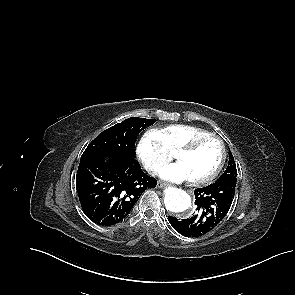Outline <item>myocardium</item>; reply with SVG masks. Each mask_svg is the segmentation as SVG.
Wrapping results in <instances>:
<instances>
[{"mask_svg":"<svg viewBox=\"0 0 295 295\" xmlns=\"http://www.w3.org/2000/svg\"><path fill=\"white\" fill-rule=\"evenodd\" d=\"M207 139H214V140L218 141V143L220 145V149H221L220 160H219V163L216 166V168L210 174H208L207 176L202 177V178L192 179V181L195 184H207V183L213 181L220 174V172L222 171V169L225 165L226 157H227V150H226V146H225L224 141L218 135L208 133V134L200 135V136H197V137L191 139L189 142H187L185 145H183L182 147H180L176 151V155L190 153L193 150H195L199 144H201L203 141H205Z\"/></svg>","mask_w":295,"mask_h":295,"instance_id":"1","label":"myocardium"}]
</instances>
